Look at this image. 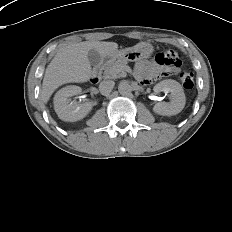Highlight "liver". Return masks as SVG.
Here are the masks:
<instances>
[{"label":"liver","mask_w":232,"mask_h":232,"mask_svg":"<svg viewBox=\"0 0 232 232\" xmlns=\"http://www.w3.org/2000/svg\"><path fill=\"white\" fill-rule=\"evenodd\" d=\"M91 49L98 51L103 58L118 52L115 42L84 41L68 44L58 50L45 70L41 100L47 103L53 92L66 83H83L91 77V64L87 57Z\"/></svg>","instance_id":"obj_1"}]
</instances>
